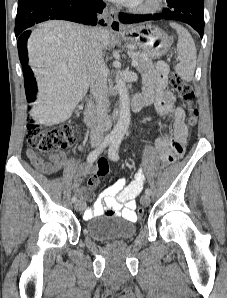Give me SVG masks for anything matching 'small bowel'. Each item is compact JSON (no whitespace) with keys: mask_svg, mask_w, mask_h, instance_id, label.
<instances>
[{"mask_svg":"<svg viewBox=\"0 0 227 298\" xmlns=\"http://www.w3.org/2000/svg\"><path fill=\"white\" fill-rule=\"evenodd\" d=\"M167 75L168 67L165 63L159 62L156 70L146 79L145 90L140 96L145 101V107L154 105L158 116H173V136L160 134L155 140V147L163 162H178L182 158L189 137V129L185 122L183 108L177 104L174 93L166 89ZM26 155L31 164L45 174H53L67 168V163L60 153L52 154L48 162L40 158L32 148L27 149ZM92 171L90 165H82L79 169L72 171L74 190L83 204L85 200L92 197V193L82 186V180ZM144 182L145 175L142 170H139L129 183L125 178H119L98 195L91 209L85 210L84 219L107 215L136 220L135 199L141 193Z\"/></svg>","mask_w":227,"mask_h":298,"instance_id":"obj_1","label":"small bowel"}]
</instances>
